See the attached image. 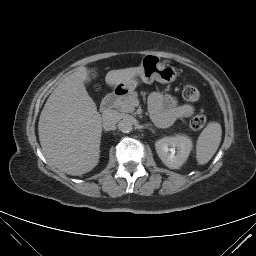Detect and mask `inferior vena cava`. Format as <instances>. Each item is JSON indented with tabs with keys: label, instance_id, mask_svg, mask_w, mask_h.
I'll return each instance as SVG.
<instances>
[{
	"label": "inferior vena cava",
	"instance_id": "obj_1",
	"mask_svg": "<svg viewBox=\"0 0 256 256\" xmlns=\"http://www.w3.org/2000/svg\"><path fill=\"white\" fill-rule=\"evenodd\" d=\"M103 127L105 130H112L120 120V114L115 110H108L103 113Z\"/></svg>",
	"mask_w": 256,
	"mask_h": 256
}]
</instances>
